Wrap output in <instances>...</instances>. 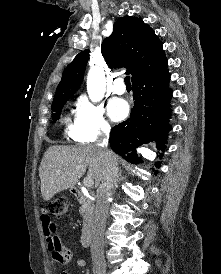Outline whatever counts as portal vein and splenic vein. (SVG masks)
I'll list each match as a JSON object with an SVG mask.
<instances>
[{"mask_svg":"<svg viewBox=\"0 0 221 274\" xmlns=\"http://www.w3.org/2000/svg\"><path fill=\"white\" fill-rule=\"evenodd\" d=\"M83 184L85 187L91 188L94 185V181L92 178L87 177L83 180Z\"/></svg>","mask_w":221,"mask_h":274,"instance_id":"1","label":"portal vein and splenic vein"}]
</instances>
